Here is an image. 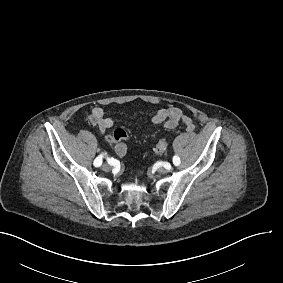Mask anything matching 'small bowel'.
Masks as SVG:
<instances>
[{
	"instance_id": "1",
	"label": "small bowel",
	"mask_w": 283,
	"mask_h": 283,
	"mask_svg": "<svg viewBox=\"0 0 283 283\" xmlns=\"http://www.w3.org/2000/svg\"><path fill=\"white\" fill-rule=\"evenodd\" d=\"M88 121L95 125L101 132H105L114 126V120L106 116L104 110L98 106L91 109ZM151 122L154 125L162 126L166 129H175L179 125H183L187 131L191 132L195 128L192 119L181 109L176 107L158 110L152 116ZM126 138L127 134L122 128L115 129L105 137L108 143L115 144V151L120 157H123L126 154L127 148L124 143Z\"/></svg>"
}]
</instances>
